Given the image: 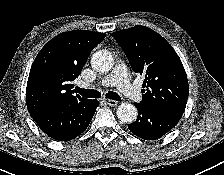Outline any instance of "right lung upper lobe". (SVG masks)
<instances>
[{"label": "right lung upper lobe", "mask_w": 224, "mask_h": 175, "mask_svg": "<svg viewBox=\"0 0 224 175\" xmlns=\"http://www.w3.org/2000/svg\"><path fill=\"white\" fill-rule=\"evenodd\" d=\"M105 36L73 30L57 35L41 49L31 66L26 88L27 108L32 117L54 107L88 100L74 96L71 83Z\"/></svg>", "instance_id": "obj_1"}]
</instances>
